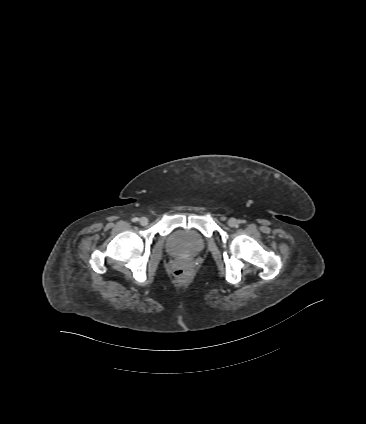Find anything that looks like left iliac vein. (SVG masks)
<instances>
[{
  "label": "left iliac vein",
  "instance_id": "1",
  "mask_svg": "<svg viewBox=\"0 0 366 424\" xmlns=\"http://www.w3.org/2000/svg\"><path fill=\"white\" fill-rule=\"evenodd\" d=\"M228 225L230 227H237L238 226V221L235 218H230L228 220Z\"/></svg>",
  "mask_w": 366,
  "mask_h": 424
}]
</instances>
